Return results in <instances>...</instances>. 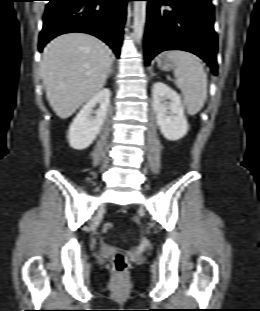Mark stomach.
I'll return each mask as SVG.
<instances>
[{"instance_id":"stomach-1","label":"stomach","mask_w":260,"mask_h":311,"mask_svg":"<svg viewBox=\"0 0 260 311\" xmlns=\"http://www.w3.org/2000/svg\"><path fill=\"white\" fill-rule=\"evenodd\" d=\"M157 66L163 71H169L175 67V63L167 57V53L160 55Z\"/></svg>"}]
</instances>
